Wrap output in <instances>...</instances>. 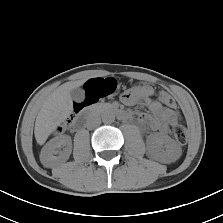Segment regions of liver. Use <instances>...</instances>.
Listing matches in <instances>:
<instances>
[{"label":"liver","instance_id":"6515ba94","mask_svg":"<svg viewBox=\"0 0 223 223\" xmlns=\"http://www.w3.org/2000/svg\"><path fill=\"white\" fill-rule=\"evenodd\" d=\"M83 83L84 80L66 82L59 86L43 102L34 128L35 139L39 145H43L49 135L70 116L73 110L70 92Z\"/></svg>","mask_w":223,"mask_h":223}]
</instances>
